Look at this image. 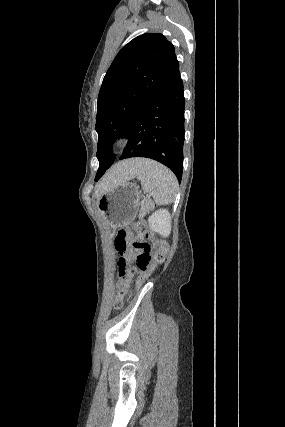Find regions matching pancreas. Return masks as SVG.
Instances as JSON below:
<instances>
[{
  "label": "pancreas",
  "instance_id": "1",
  "mask_svg": "<svg viewBox=\"0 0 285 427\" xmlns=\"http://www.w3.org/2000/svg\"><path fill=\"white\" fill-rule=\"evenodd\" d=\"M152 208H153L152 201L151 200H146L145 203L143 204L140 212H139V217L145 216V214L147 212H149Z\"/></svg>",
  "mask_w": 285,
  "mask_h": 427
}]
</instances>
